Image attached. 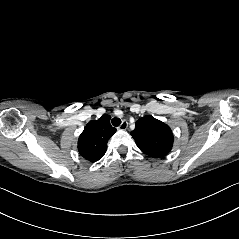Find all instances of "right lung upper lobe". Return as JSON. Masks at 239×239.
Listing matches in <instances>:
<instances>
[{"label": "right lung upper lobe", "instance_id": "obj_1", "mask_svg": "<svg viewBox=\"0 0 239 239\" xmlns=\"http://www.w3.org/2000/svg\"><path fill=\"white\" fill-rule=\"evenodd\" d=\"M110 116L105 114L98 120L90 121L78 139L80 155L90 162H96L107 150V142L116 132L110 125Z\"/></svg>", "mask_w": 239, "mask_h": 239}]
</instances>
